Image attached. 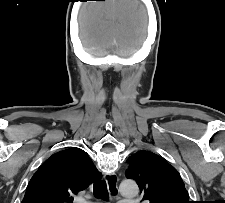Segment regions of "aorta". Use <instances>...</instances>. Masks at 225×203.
I'll return each instance as SVG.
<instances>
[{
    "label": "aorta",
    "mask_w": 225,
    "mask_h": 203,
    "mask_svg": "<svg viewBox=\"0 0 225 203\" xmlns=\"http://www.w3.org/2000/svg\"><path fill=\"white\" fill-rule=\"evenodd\" d=\"M119 191L124 196H135L138 193V186L133 180H123L119 185Z\"/></svg>",
    "instance_id": "1"
}]
</instances>
